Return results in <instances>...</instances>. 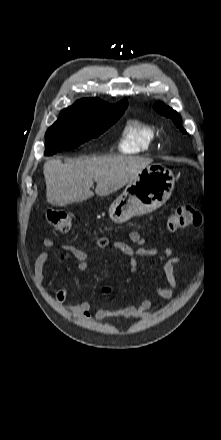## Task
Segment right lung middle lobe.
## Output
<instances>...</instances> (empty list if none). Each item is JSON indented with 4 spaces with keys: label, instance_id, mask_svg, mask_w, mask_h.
I'll return each mask as SVG.
<instances>
[{
    "label": "right lung middle lobe",
    "instance_id": "dd1d6c3e",
    "mask_svg": "<svg viewBox=\"0 0 221 440\" xmlns=\"http://www.w3.org/2000/svg\"><path fill=\"white\" fill-rule=\"evenodd\" d=\"M125 109L62 110L45 134V155L76 148L98 137L121 117Z\"/></svg>",
    "mask_w": 221,
    "mask_h": 440
}]
</instances>
